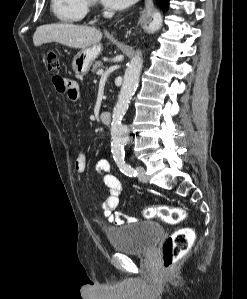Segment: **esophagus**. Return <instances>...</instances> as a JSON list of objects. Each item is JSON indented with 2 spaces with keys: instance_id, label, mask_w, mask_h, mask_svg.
I'll return each instance as SVG.
<instances>
[{
  "instance_id": "esophagus-1",
  "label": "esophagus",
  "mask_w": 247,
  "mask_h": 299,
  "mask_svg": "<svg viewBox=\"0 0 247 299\" xmlns=\"http://www.w3.org/2000/svg\"><path fill=\"white\" fill-rule=\"evenodd\" d=\"M145 4L150 9H152L154 7L153 0H145Z\"/></svg>"
}]
</instances>
